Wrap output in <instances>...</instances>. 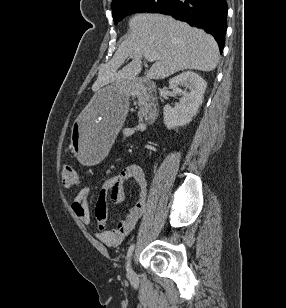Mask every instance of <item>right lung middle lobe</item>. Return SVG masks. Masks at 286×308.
I'll use <instances>...</instances> for the list:
<instances>
[{
	"label": "right lung middle lobe",
	"instance_id": "right-lung-middle-lobe-1",
	"mask_svg": "<svg viewBox=\"0 0 286 308\" xmlns=\"http://www.w3.org/2000/svg\"><path fill=\"white\" fill-rule=\"evenodd\" d=\"M167 0H120L112 5L113 20L117 24L127 15L141 12H153Z\"/></svg>",
	"mask_w": 286,
	"mask_h": 308
}]
</instances>
